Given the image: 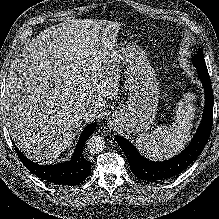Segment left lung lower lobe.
I'll list each match as a JSON object with an SVG mask.
<instances>
[{
	"label": "left lung lower lobe",
	"instance_id": "0a47b994",
	"mask_svg": "<svg viewBox=\"0 0 219 219\" xmlns=\"http://www.w3.org/2000/svg\"><path fill=\"white\" fill-rule=\"evenodd\" d=\"M195 67L205 90V108L200 126L183 152L167 161L152 162L141 156L131 142L121 136H115L127 157L132 173L137 178L145 181L170 179L185 170L203 151L212 129L214 98L207 67Z\"/></svg>",
	"mask_w": 219,
	"mask_h": 219
}]
</instances>
